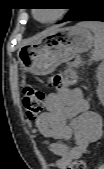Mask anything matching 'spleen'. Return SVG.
<instances>
[{"label":"spleen","mask_w":104,"mask_h":169,"mask_svg":"<svg viewBox=\"0 0 104 169\" xmlns=\"http://www.w3.org/2000/svg\"><path fill=\"white\" fill-rule=\"evenodd\" d=\"M83 27L90 29L94 33V51L91 60L99 61L104 57V26L98 22H84Z\"/></svg>","instance_id":"3e777b00"}]
</instances>
